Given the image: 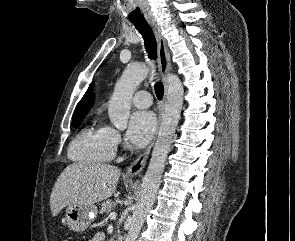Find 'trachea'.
Masks as SVG:
<instances>
[{
  "label": "trachea",
  "mask_w": 295,
  "mask_h": 241,
  "mask_svg": "<svg viewBox=\"0 0 295 241\" xmlns=\"http://www.w3.org/2000/svg\"><path fill=\"white\" fill-rule=\"evenodd\" d=\"M131 22L134 24L135 28L139 31V33L142 35L144 39V45L148 53V57L150 59L156 60L157 42L152 29L150 28L146 20H137ZM154 89L157 98L161 100L164 95V87L162 83L156 82L154 85Z\"/></svg>",
  "instance_id": "trachea-1"
}]
</instances>
